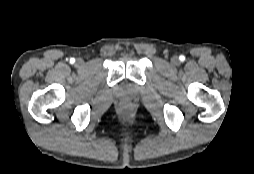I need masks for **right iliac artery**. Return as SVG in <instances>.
Returning a JSON list of instances; mask_svg holds the SVG:
<instances>
[{
  "mask_svg": "<svg viewBox=\"0 0 254 174\" xmlns=\"http://www.w3.org/2000/svg\"><path fill=\"white\" fill-rule=\"evenodd\" d=\"M70 62H71V63H74V62H75V59H74V58H71Z\"/></svg>",
  "mask_w": 254,
  "mask_h": 174,
  "instance_id": "right-iliac-artery-1",
  "label": "right iliac artery"
}]
</instances>
